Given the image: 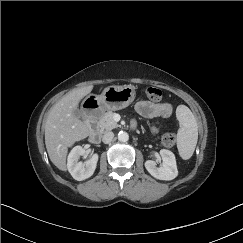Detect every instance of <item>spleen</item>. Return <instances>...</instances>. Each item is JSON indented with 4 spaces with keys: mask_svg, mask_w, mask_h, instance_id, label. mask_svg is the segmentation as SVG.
Listing matches in <instances>:
<instances>
[{
    "mask_svg": "<svg viewBox=\"0 0 243 243\" xmlns=\"http://www.w3.org/2000/svg\"><path fill=\"white\" fill-rule=\"evenodd\" d=\"M176 117L180 123L177 132V148L182 159L191 158L197 145L198 126L191 110L185 105L176 109Z\"/></svg>",
    "mask_w": 243,
    "mask_h": 243,
    "instance_id": "spleen-1",
    "label": "spleen"
}]
</instances>
